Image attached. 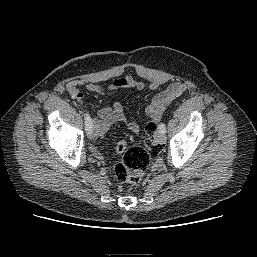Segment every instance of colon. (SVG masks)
<instances>
[{"label": "colon", "instance_id": "5ec220e1", "mask_svg": "<svg viewBox=\"0 0 257 257\" xmlns=\"http://www.w3.org/2000/svg\"><path fill=\"white\" fill-rule=\"evenodd\" d=\"M156 129V121L146 125L147 138L143 147H129L125 140L117 143L116 151L121 159L114 166V177L119 184L136 185L141 182L152 158L160 152L159 145L152 138Z\"/></svg>", "mask_w": 257, "mask_h": 257}]
</instances>
